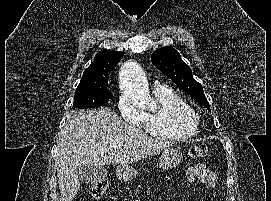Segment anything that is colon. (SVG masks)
Returning a JSON list of instances; mask_svg holds the SVG:
<instances>
[{"label":"colon","mask_w":271,"mask_h":201,"mask_svg":"<svg viewBox=\"0 0 271 201\" xmlns=\"http://www.w3.org/2000/svg\"><path fill=\"white\" fill-rule=\"evenodd\" d=\"M190 156L193 159L205 158L208 155V148L204 144H197L191 147ZM108 188V181L101 179L93 183L90 187V196L93 199L101 198Z\"/></svg>","instance_id":"colon-1"}]
</instances>
